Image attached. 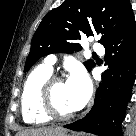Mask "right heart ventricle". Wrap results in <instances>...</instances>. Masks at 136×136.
Returning a JSON list of instances; mask_svg holds the SVG:
<instances>
[{"label": "right heart ventricle", "mask_w": 136, "mask_h": 136, "mask_svg": "<svg viewBox=\"0 0 136 136\" xmlns=\"http://www.w3.org/2000/svg\"><path fill=\"white\" fill-rule=\"evenodd\" d=\"M52 75V69L42 64L34 68L27 76L21 94L23 120L28 124H45L50 121L40 105L41 89Z\"/></svg>", "instance_id": "right-heart-ventricle-1"}]
</instances>
